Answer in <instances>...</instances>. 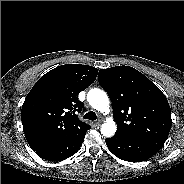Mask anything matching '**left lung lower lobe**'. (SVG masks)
<instances>
[{
    "instance_id": "0a47b994",
    "label": "left lung lower lobe",
    "mask_w": 184,
    "mask_h": 184,
    "mask_svg": "<svg viewBox=\"0 0 184 184\" xmlns=\"http://www.w3.org/2000/svg\"><path fill=\"white\" fill-rule=\"evenodd\" d=\"M105 142L115 156L128 162L145 161L157 153L151 147L119 132H116L113 137L106 139Z\"/></svg>"
}]
</instances>
